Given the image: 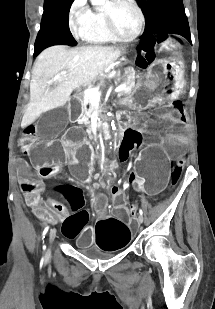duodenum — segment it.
I'll list each match as a JSON object with an SVG mask.
<instances>
[{
  "label": "duodenum",
  "instance_id": "1",
  "mask_svg": "<svg viewBox=\"0 0 215 309\" xmlns=\"http://www.w3.org/2000/svg\"><path fill=\"white\" fill-rule=\"evenodd\" d=\"M115 122L121 127L128 128V125L132 122V117L125 113H119L115 116ZM113 132V124L110 120L104 118L99 119V128L97 131V137L99 140L105 138Z\"/></svg>",
  "mask_w": 215,
  "mask_h": 309
}]
</instances>
